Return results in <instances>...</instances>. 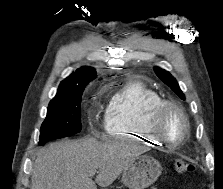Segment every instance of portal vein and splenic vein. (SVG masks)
<instances>
[{
	"label": "portal vein and splenic vein",
	"instance_id": "1",
	"mask_svg": "<svg viewBox=\"0 0 223 189\" xmlns=\"http://www.w3.org/2000/svg\"><path fill=\"white\" fill-rule=\"evenodd\" d=\"M95 173H96V170L90 171V176L95 175Z\"/></svg>",
	"mask_w": 223,
	"mask_h": 189
}]
</instances>
